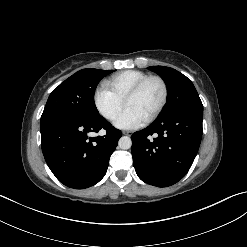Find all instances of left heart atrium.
Wrapping results in <instances>:
<instances>
[{"mask_svg": "<svg viewBox=\"0 0 247 247\" xmlns=\"http://www.w3.org/2000/svg\"><path fill=\"white\" fill-rule=\"evenodd\" d=\"M147 121V117L136 108L126 106L118 115L114 124L121 129H135L142 126Z\"/></svg>", "mask_w": 247, "mask_h": 247, "instance_id": "left-heart-atrium-1", "label": "left heart atrium"}]
</instances>
